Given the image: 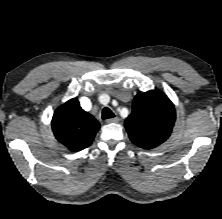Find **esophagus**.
<instances>
[{"mask_svg":"<svg viewBox=\"0 0 222 219\" xmlns=\"http://www.w3.org/2000/svg\"><path fill=\"white\" fill-rule=\"evenodd\" d=\"M106 122L108 124H110V123H118L119 122V118L115 117V118L107 119Z\"/></svg>","mask_w":222,"mask_h":219,"instance_id":"esophagus-1","label":"esophagus"}]
</instances>
